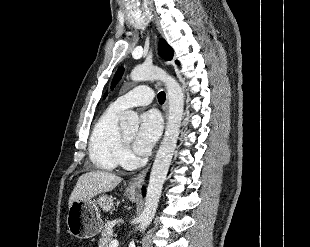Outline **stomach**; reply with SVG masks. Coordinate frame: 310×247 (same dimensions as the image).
<instances>
[{
    "mask_svg": "<svg viewBox=\"0 0 310 247\" xmlns=\"http://www.w3.org/2000/svg\"><path fill=\"white\" fill-rule=\"evenodd\" d=\"M124 195L131 201L137 199L134 191L127 189ZM113 207V198L106 194L96 200H76L69 206L66 223L68 232L79 239L96 236L103 228L100 208L109 211Z\"/></svg>",
    "mask_w": 310,
    "mask_h": 247,
    "instance_id": "1",
    "label": "stomach"
}]
</instances>
